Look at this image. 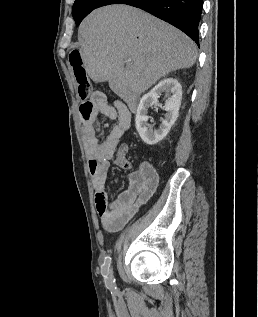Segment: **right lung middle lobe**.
<instances>
[{
    "instance_id": "obj_1",
    "label": "right lung middle lobe",
    "mask_w": 258,
    "mask_h": 317,
    "mask_svg": "<svg viewBox=\"0 0 258 317\" xmlns=\"http://www.w3.org/2000/svg\"><path fill=\"white\" fill-rule=\"evenodd\" d=\"M87 0H75L73 8H72V15L73 18L75 19L83 5L85 4Z\"/></svg>"
}]
</instances>
